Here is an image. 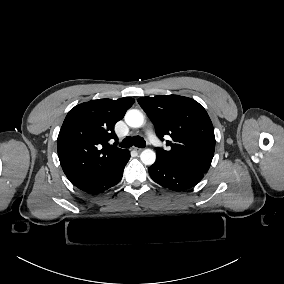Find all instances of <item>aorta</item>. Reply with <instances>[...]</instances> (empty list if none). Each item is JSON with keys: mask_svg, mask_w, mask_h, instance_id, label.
I'll list each match as a JSON object with an SVG mask.
<instances>
[{"mask_svg": "<svg viewBox=\"0 0 284 284\" xmlns=\"http://www.w3.org/2000/svg\"><path fill=\"white\" fill-rule=\"evenodd\" d=\"M125 122L132 128H139L144 123V115L137 109L128 110L125 114ZM140 159L145 165H152L156 160V154L151 149H145L140 154Z\"/></svg>", "mask_w": 284, "mask_h": 284, "instance_id": "1", "label": "aorta"}]
</instances>
